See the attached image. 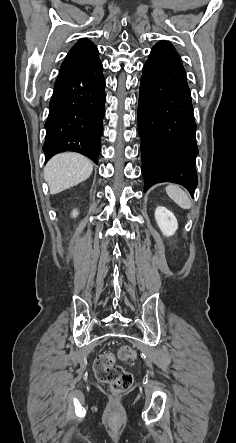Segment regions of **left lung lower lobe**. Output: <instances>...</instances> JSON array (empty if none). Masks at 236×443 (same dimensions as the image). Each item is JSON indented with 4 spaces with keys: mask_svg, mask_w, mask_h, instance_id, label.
I'll return each mask as SVG.
<instances>
[{
    "mask_svg": "<svg viewBox=\"0 0 236 443\" xmlns=\"http://www.w3.org/2000/svg\"><path fill=\"white\" fill-rule=\"evenodd\" d=\"M186 79L174 47L156 44L143 67L138 103L145 192L156 183L173 182L194 195L198 148Z\"/></svg>",
    "mask_w": 236,
    "mask_h": 443,
    "instance_id": "left-lung-lower-lobe-1",
    "label": "left lung lower lobe"
}]
</instances>
